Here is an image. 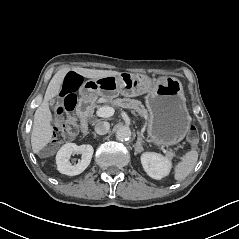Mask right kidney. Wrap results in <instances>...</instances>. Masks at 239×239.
<instances>
[{
    "instance_id": "obj_1",
    "label": "right kidney",
    "mask_w": 239,
    "mask_h": 239,
    "mask_svg": "<svg viewBox=\"0 0 239 239\" xmlns=\"http://www.w3.org/2000/svg\"><path fill=\"white\" fill-rule=\"evenodd\" d=\"M93 147L89 144L76 145L75 143H66L64 144L56 155V164L57 169L60 173L66 174L69 176H74L82 173L90 164ZM81 154V160L77 164L72 165L70 162L71 155Z\"/></svg>"
}]
</instances>
